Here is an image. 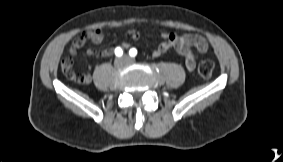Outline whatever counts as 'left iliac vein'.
Returning a JSON list of instances; mask_svg holds the SVG:
<instances>
[{
  "instance_id": "1",
  "label": "left iliac vein",
  "mask_w": 283,
  "mask_h": 162,
  "mask_svg": "<svg viewBox=\"0 0 283 162\" xmlns=\"http://www.w3.org/2000/svg\"><path fill=\"white\" fill-rule=\"evenodd\" d=\"M124 60H125L126 62H132V61H133L132 59H130V58H128V57H125Z\"/></svg>"
}]
</instances>
